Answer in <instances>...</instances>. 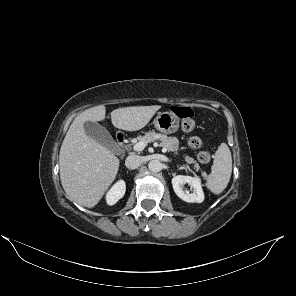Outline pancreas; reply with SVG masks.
<instances>
[{
	"instance_id": "cf45deb5",
	"label": "pancreas",
	"mask_w": 296,
	"mask_h": 296,
	"mask_svg": "<svg viewBox=\"0 0 296 296\" xmlns=\"http://www.w3.org/2000/svg\"><path fill=\"white\" fill-rule=\"evenodd\" d=\"M158 139L161 141V143L159 144L161 147L165 148L169 152H175V155L178 154L179 141L176 137H167L166 135L158 134L155 132H148L144 136L137 137V140L139 142L143 141L146 144L154 142L155 140H158ZM184 159L188 164H194V169L196 171L200 170V165L196 163V161L192 157L185 155ZM204 175L205 174L203 173V176Z\"/></svg>"
}]
</instances>
